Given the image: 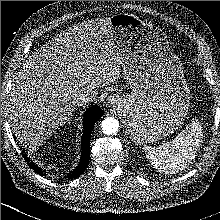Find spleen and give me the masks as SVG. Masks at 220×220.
<instances>
[{
  "label": "spleen",
  "mask_w": 220,
  "mask_h": 220,
  "mask_svg": "<svg viewBox=\"0 0 220 220\" xmlns=\"http://www.w3.org/2000/svg\"><path fill=\"white\" fill-rule=\"evenodd\" d=\"M202 126L192 121L171 142L159 147L144 146L146 158L161 172L175 174L187 168L195 159L202 140Z\"/></svg>",
  "instance_id": "3e777b00"
}]
</instances>
